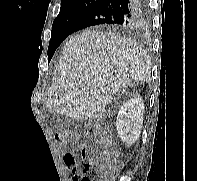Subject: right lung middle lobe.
Segmentation results:
<instances>
[{
  "label": "right lung middle lobe",
  "instance_id": "obj_1",
  "mask_svg": "<svg viewBox=\"0 0 197 181\" xmlns=\"http://www.w3.org/2000/svg\"><path fill=\"white\" fill-rule=\"evenodd\" d=\"M90 5H82L72 9L60 11L52 25V36L48 46V61L51 60L55 50L70 35L78 19L90 8Z\"/></svg>",
  "mask_w": 197,
  "mask_h": 181
}]
</instances>
